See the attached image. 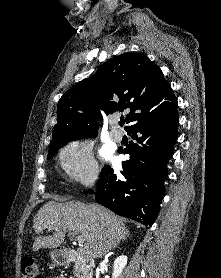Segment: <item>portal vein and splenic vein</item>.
Segmentation results:
<instances>
[{
  "label": "portal vein and splenic vein",
  "instance_id": "1",
  "mask_svg": "<svg viewBox=\"0 0 221 278\" xmlns=\"http://www.w3.org/2000/svg\"><path fill=\"white\" fill-rule=\"evenodd\" d=\"M76 239H77V242L80 244L84 242V239L80 236H77Z\"/></svg>",
  "mask_w": 221,
  "mask_h": 278
}]
</instances>
